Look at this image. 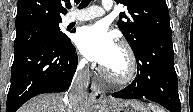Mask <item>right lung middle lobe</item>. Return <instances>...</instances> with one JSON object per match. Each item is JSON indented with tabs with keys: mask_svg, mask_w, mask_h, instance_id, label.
<instances>
[{
	"mask_svg": "<svg viewBox=\"0 0 193 112\" xmlns=\"http://www.w3.org/2000/svg\"><path fill=\"white\" fill-rule=\"evenodd\" d=\"M44 39H54L63 45L72 44L68 36L61 31L59 24L38 25L16 30L14 52Z\"/></svg>",
	"mask_w": 193,
	"mask_h": 112,
	"instance_id": "dd1d6c3e",
	"label": "right lung middle lobe"
}]
</instances>
